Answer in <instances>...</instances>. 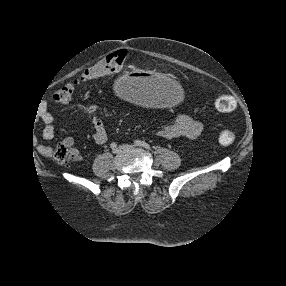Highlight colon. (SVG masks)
<instances>
[{"label": "colon", "mask_w": 286, "mask_h": 286, "mask_svg": "<svg viewBox=\"0 0 286 286\" xmlns=\"http://www.w3.org/2000/svg\"><path fill=\"white\" fill-rule=\"evenodd\" d=\"M127 67V52L118 50L112 52L99 60L97 63L85 70V72L73 81L65 84L56 90L51 100L56 105L68 104L77 89L82 83L90 82L97 78L122 73ZM237 102L230 95H223L215 102V107L223 113H230L236 109ZM236 140V133L232 129L224 128L218 132V142L223 146H230ZM53 157L56 161L64 163L73 158L72 151L65 144H58L53 150Z\"/></svg>", "instance_id": "colon-1"}]
</instances>
